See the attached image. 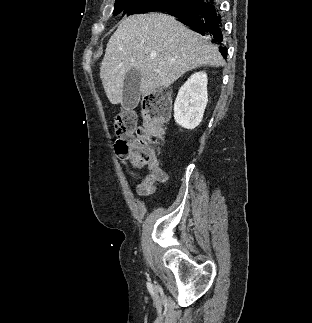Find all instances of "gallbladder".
I'll return each mask as SVG.
<instances>
[{"instance_id":"obj_1","label":"gallbladder","mask_w":312,"mask_h":323,"mask_svg":"<svg viewBox=\"0 0 312 323\" xmlns=\"http://www.w3.org/2000/svg\"><path fill=\"white\" fill-rule=\"evenodd\" d=\"M140 84L141 72L137 68L129 70L125 76L123 92H122V106L123 108H136L140 100Z\"/></svg>"}]
</instances>
